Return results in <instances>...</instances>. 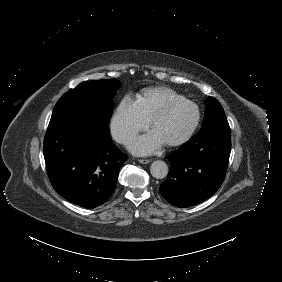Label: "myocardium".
I'll use <instances>...</instances> for the list:
<instances>
[{"instance_id": "obj_1", "label": "myocardium", "mask_w": 282, "mask_h": 282, "mask_svg": "<svg viewBox=\"0 0 282 282\" xmlns=\"http://www.w3.org/2000/svg\"><path fill=\"white\" fill-rule=\"evenodd\" d=\"M187 105L191 106L193 108L194 118H193L190 126L187 128V130L180 137H178L177 139L172 140V141L164 142L165 145H167L169 147H175V146L182 145L191 138V136L195 132V130L198 127L199 122H200L201 113H200V109H199L198 105L196 103H194L193 101L188 100V99L172 100V101H169L168 105L164 109L156 112L151 119V126L154 129L156 123L161 118H163L169 111H171L175 108L187 106Z\"/></svg>"}]
</instances>
